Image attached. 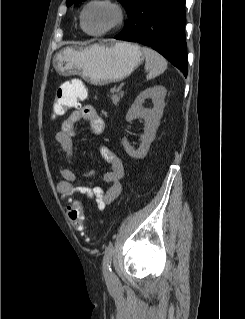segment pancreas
<instances>
[{"mask_svg": "<svg viewBox=\"0 0 245 319\" xmlns=\"http://www.w3.org/2000/svg\"><path fill=\"white\" fill-rule=\"evenodd\" d=\"M113 92V91H112ZM123 94L122 93H119V94H113L110 96V99L112 101V103L114 105L118 104L120 99L122 98Z\"/></svg>", "mask_w": 245, "mask_h": 319, "instance_id": "pancreas-1", "label": "pancreas"}]
</instances>
